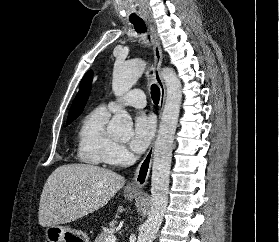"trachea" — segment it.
<instances>
[{
    "label": "trachea",
    "instance_id": "1",
    "mask_svg": "<svg viewBox=\"0 0 279 242\" xmlns=\"http://www.w3.org/2000/svg\"><path fill=\"white\" fill-rule=\"evenodd\" d=\"M131 23L134 25V28L137 33H143L146 32V26L143 21H131ZM151 97L155 104L159 103L160 100V89L157 85L153 84L151 86Z\"/></svg>",
    "mask_w": 279,
    "mask_h": 242
}]
</instances>
